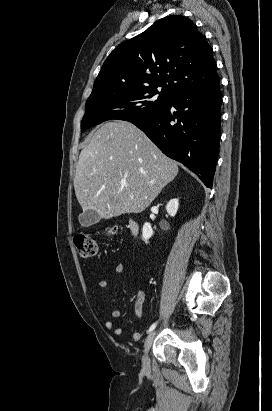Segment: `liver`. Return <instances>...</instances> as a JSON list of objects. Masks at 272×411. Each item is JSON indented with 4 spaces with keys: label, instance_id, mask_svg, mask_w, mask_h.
<instances>
[{
    "label": "liver",
    "instance_id": "6515ba94",
    "mask_svg": "<svg viewBox=\"0 0 272 411\" xmlns=\"http://www.w3.org/2000/svg\"><path fill=\"white\" fill-rule=\"evenodd\" d=\"M178 171L135 125L107 122L79 155L74 189L83 212L91 209L110 219L145 210Z\"/></svg>",
    "mask_w": 272,
    "mask_h": 411
}]
</instances>
